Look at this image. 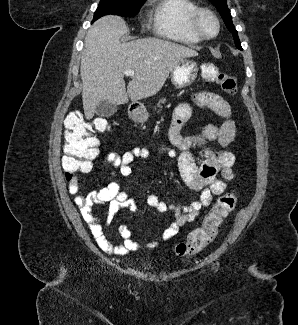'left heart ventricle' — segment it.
Instances as JSON below:
<instances>
[{"instance_id":"b2bd125f","label":"left heart ventricle","mask_w":298,"mask_h":325,"mask_svg":"<svg viewBox=\"0 0 298 325\" xmlns=\"http://www.w3.org/2000/svg\"><path fill=\"white\" fill-rule=\"evenodd\" d=\"M200 27L203 31V33L206 36H211L214 33V26L212 21L207 18V17H203L200 21Z\"/></svg>"}]
</instances>
